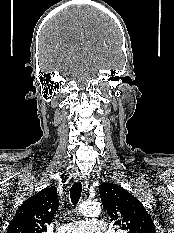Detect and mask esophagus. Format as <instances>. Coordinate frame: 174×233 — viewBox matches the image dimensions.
Instances as JSON below:
<instances>
[{"instance_id":"obj_1","label":"esophagus","mask_w":174,"mask_h":233,"mask_svg":"<svg viewBox=\"0 0 174 233\" xmlns=\"http://www.w3.org/2000/svg\"><path fill=\"white\" fill-rule=\"evenodd\" d=\"M78 180H79L80 182H82V184H83V186H84L85 189L88 188L89 181H88V179H87L86 177H84V176H79Z\"/></svg>"}]
</instances>
